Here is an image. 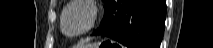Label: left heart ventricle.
Segmentation results:
<instances>
[{
	"mask_svg": "<svg viewBox=\"0 0 213 48\" xmlns=\"http://www.w3.org/2000/svg\"><path fill=\"white\" fill-rule=\"evenodd\" d=\"M90 16V11L84 6L72 7L65 16V30L69 33L83 31L89 24Z\"/></svg>",
	"mask_w": 213,
	"mask_h": 48,
	"instance_id": "left-heart-ventricle-1",
	"label": "left heart ventricle"
}]
</instances>
